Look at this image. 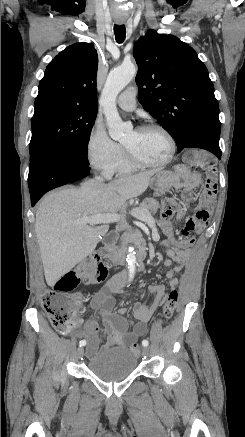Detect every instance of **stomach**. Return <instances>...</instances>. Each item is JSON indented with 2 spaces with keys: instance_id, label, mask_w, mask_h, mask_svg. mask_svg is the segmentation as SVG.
I'll use <instances>...</instances> for the list:
<instances>
[{
  "instance_id": "stomach-1",
  "label": "stomach",
  "mask_w": 245,
  "mask_h": 437,
  "mask_svg": "<svg viewBox=\"0 0 245 437\" xmlns=\"http://www.w3.org/2000/svg\"><path fill=\"white\" fill-rule=\"evenodd\" d=\"M192 183L190 170L184 166H176L174 171L160 170L151 179V188L155 196H161L171 188L181 189Z\"/></svg>"
}]
</instances>
